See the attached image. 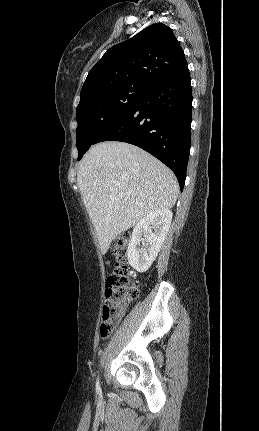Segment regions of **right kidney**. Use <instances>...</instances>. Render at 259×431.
<instances>
[{
	"label": "right kidney",
	"instance_id": "obj_1",
	"mask_svg": "<svg viewBox=\"0 0 259 431\" xmlns=\"http://www.w3.org/2000/svg\"><path fill=\"white\" fill-rule=\"evenodd\" d=\"M171 220L172 212L160 209L149 213L136 224L127 249L129 264L136 271L142 273L150 268L166 238ZM141 242L143 247L139 249Z\"/></svg>",
	"mask_w": 259,
	"mask_h": 431
}]
</instances>
